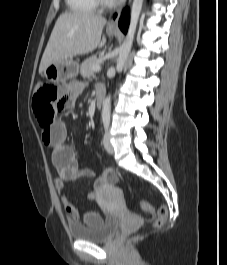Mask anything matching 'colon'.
<instances>
[{"instance_id": "colon-1", "label": "colon", "mask_w": 227, "mask_h": 265, "mask_svg": "<svg viewBox=\"0 0 227 265\" xmlns=\"http://www.w3.org/2000/svg\"><path fill=\"white\" fill-rule=\"evenodd\" d=\"M59 99H65L61 89L50 83L37 82L35 84L33 96V109L42 129L49 127L54 121L56 112L58 111L57 104ZM139 207L148 214L155 215L153 225L155 228H160L166 221L168 211L165 206H160L156 211L147 202H140Z\"/></svg>"}]
</instances>
